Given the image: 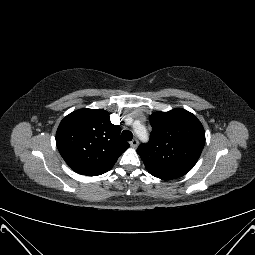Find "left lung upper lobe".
<instances>
[{
    "instance_id": "obj_1",
    "label": "left lung upper lobe",
    "mask_w": 255,
    "mask_h": 255,
    "mask_svg": "<svg viewBox=\"0 0 255 255\" xmlns=\"http://www.w3.org/2000/svg\"><path fill=\"white\" fill-rule=\"evenodd\" d=\"M150 123V141L137 149L148 172L163 180L188 173L205 145V132L200 121L189 111L177 108L153 113Z\"/></svg>"
}]
</instances>
